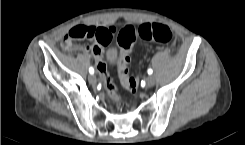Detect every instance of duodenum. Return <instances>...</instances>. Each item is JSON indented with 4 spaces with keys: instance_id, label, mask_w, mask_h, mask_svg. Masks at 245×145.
Masks as SVG:
<instances>
[{
    "instance_id": "1",
    "label": "duodenum",
    "mask_w": 245,
    "mask_h": 145,
    "mask_svg": "<svg viewBox=\"0 0 245 145\" xmlns=\"http://www.w3.org/2000/svg\"><path fill=\"white\" fill-rule=\"evenodd\" d=\"M71 49H72V51H74V52H83V51H85L84 46L76 45V44L72 45V46H71Z\"/></svg>"
}]
</instances>
